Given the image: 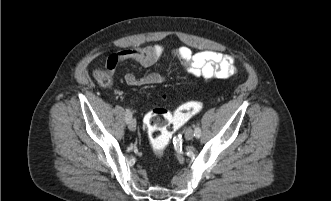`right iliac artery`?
Listing matches in <instances>:
<instances>
[{
	"mask_svg": "<svg viewBox=\"0 0 331 201\" xmlns=\"http://www.w3.org/2000/svg\"><path fill=\"white\" fill-rule=\"evenodd\" d=\"M131 118H132L131 110L130 109H126V122H127V124L129 123V121L131 120Z\"/></svg>",
	"mask_w": 331,
	"mask_h": 201,
	"instance_id": "obj_1",
	"label": "right iliac artery"
}]
</instances>
